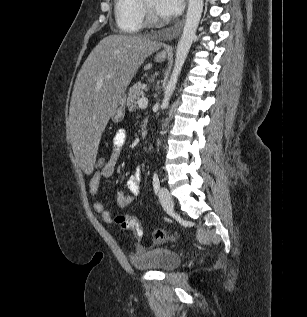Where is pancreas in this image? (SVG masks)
Returning <instances> with one entry per match:
<instances>
[{"label": "pancreas", "mask_w": 307, "mask_h": 317, "mask_svg": "<svg viewBox=\"0 0 307 317\" xmlns=\"http://www.w3.org/2000/svg\"><path fill=\"white\" fill-rule=\"evenodd\" d=\"M144 96L142 90V84L140 82L134 84L129 88L128 98H127V107L130 112H133L137 109L138 100Z\"/></svg>", "instance_id": "obj_1"}]
</instances>
